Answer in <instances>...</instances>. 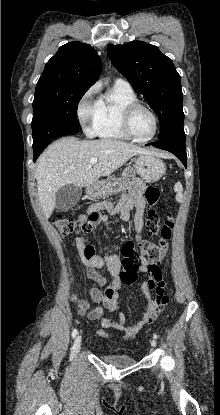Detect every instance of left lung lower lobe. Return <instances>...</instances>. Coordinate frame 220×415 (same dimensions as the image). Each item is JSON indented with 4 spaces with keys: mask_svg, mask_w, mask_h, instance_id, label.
Segmentation results:
<instances>
[{
    "mask_svg": "<svg viewBox=\"0 0 220 415\" xmlns=\"http://www.w3.org/2000/svg\"><path fill=\"white\" fill-rule=\"evenodd\" d=\"M149 145V144H147ZM156 148L167 150L176 155L183 165L187 166V155L185 146V132L184 129L178 131L170 136L160 139L157 142L151 143Z\"/></svg>",
    "mask_w": 220,
    "mask_h": 415,
    "instance_id": "obj_1",
    "label": "left lung lower lobe"
}]
</instances>
